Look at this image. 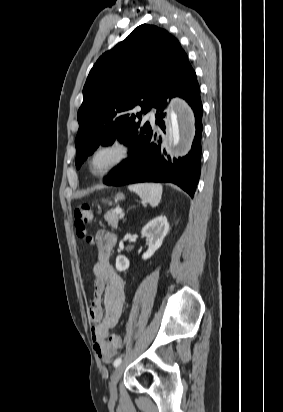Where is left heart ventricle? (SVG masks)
Returning <instances> with one entry per match:
<instances>
[{
	"mask_svg": "<svg viewBox=\"0 0 283 412\" xmlns=\"http://www.w3.org/2000/svg\"><path fill=\"white\" fill-rule=\"evenodd\" d=\"M117 156L114 150L104 151L98 154L94 161L93 166L96 170H100L108 166Z\"/></svg>",
	"mask_w": 283,
	"mask_h": 412,
	"instance_id": "1",
	"label": "left heart ventricle"
}]
</instances>
